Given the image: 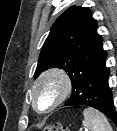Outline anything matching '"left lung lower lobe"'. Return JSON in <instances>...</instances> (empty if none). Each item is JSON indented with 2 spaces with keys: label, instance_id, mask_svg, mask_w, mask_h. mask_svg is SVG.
I'll return each instance as SVG.
<instances>
[{
  "label": "left lung lower lobe",
  "instance_id": "1",
  "mask_svg": "<svg viewBox=\"0 0 117 131\" xmlns=\"http://www.w3.org/2000/svg\"><path fill=\"white\" fill-rule=\"evenodd\" d=\"M106 58L93 69L86 82L72 90L71 97L65 106L86 105L93 107L108 116L117 125L112 91L108 85L109 69L106 67Z\"/></svg>",
  "mask_w": 117,
  "mask_h": 131
}]
</instances>
